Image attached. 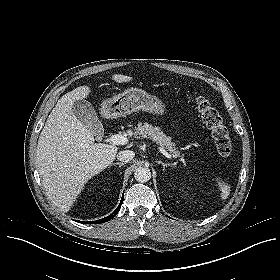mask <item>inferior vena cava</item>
Instances as JSON below:
<instances>
[{"mask_svg":"<svg viewBox=\"0 0 280 280\" xmlns=\"http://www.w3.org/2000/svg\"><path fill=\"white\" fill-rule=\"evenodd\" d=\"M135 156V153L131 150H123L117 154V159L122 163L131 161Z\"/></svg>","mask_w":280,"mask_h":280,"instance_id":"obj_1","label":"inferior vena cava"}]
</instances>
